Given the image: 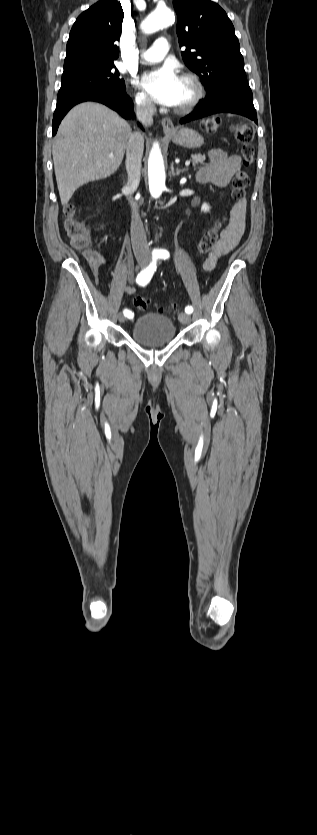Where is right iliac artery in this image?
Returning <instances> with one entry per match:
<instances>
[{
  "mask_svg": "<svg viewBox=\"0 0 317 835\" xmlns=\"http://www.w3.org/2000/svg\"><path fill=\"white\" fill-rule=\"evenodd\" d=\"M156 261H157V257H153V260L150 263V265L147 268L141 270L140 273L137 275L136 282L140 286L147 285L149 283V281L151 280V278H152V276H153V274H154V272L156 271V268H157ZM123 313L128 318L133 317L132 311H130L128 309H124Z\"/></svg>",
  "mask_w": 317,
  "mask_h": 835,
  "instance_id": "right-iliac-artery-1",
  "label": "right iliac artery"
}]
</instances>
